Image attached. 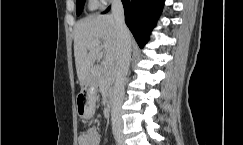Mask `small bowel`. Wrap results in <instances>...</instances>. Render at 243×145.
<instances>
[{
  "instance_id": "1",
  "label": "small bowel",
  "mask_w": 243,
  "mask_h": 145,
  "mask_svg": "<svg viewBox=\"0 0 243 145\" xmlns=\"http://www.w3.org/2000/svg\"><path fill=\"white\" fill-rule=\"evenodd\" d=\"M100 135L94 128L87 129L78 138V145H100Z\"/></svg>"
}]
</instances>
